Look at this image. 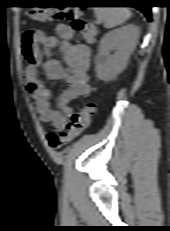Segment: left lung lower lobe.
<instances>
[{"instance_id": "0a47b994", "label": "left lung lower lobe", "mask_w": 170, "mask_h": 231, "mask_svg": "<svg viewBox=\"0 0 170 231\" xmlns=\"http://www.w3.org/2000/svg\"><path fill=\"white\" fill-rule=\"evenodd\" d=\"M130 4H135V7L138 10H140L148 19V21L152 20L151 16V6L149 5L150 1L149 0H131L129 1Z\"/></svg>"}]
</instances>
